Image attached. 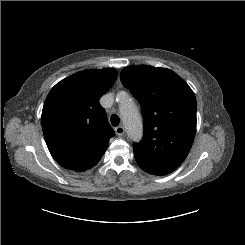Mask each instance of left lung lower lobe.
<instances>
[{
  "label": "left lung lower lobe",
  "mask_w": 245,
  "mask_h": 245,
  "mask_svg": "<svg viewBox=\"0 0 245 245\" xmlns=\"http://www.w3.org/2000/svg\"><path fill=\"white\" fill-rule=\"evenodd\" d=\"M139 167L141 169H143L145 172L152 174V175H158V176H163V175H167L171 172H173L174 170L172 168L169 167H164V166H159V167H155V168H149L146 167L140 163H138Z\"/></svg>",
  "instance_id": "obj_1"
}]
</instances>
